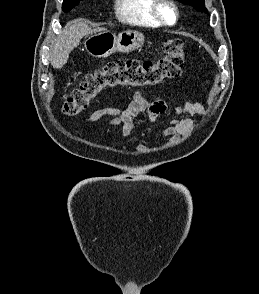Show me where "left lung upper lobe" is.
Returning <instances> with one entry per match:
<instances>
[{"instance_id": "1", "label": "left lung upper lobe", "mask_w": 259, "mask_h": 294, "mask_svg": "<svg viewBox=\"0 0 259 294\" xmlns=\"http://www.w3.org/2000/svg\"><path fill=\"white\" fill-rule=\"evenodd\" d=\"M183 4L190 5L194 9H197L199 11H205L207 12V9L205 8L204 0H178Z\"/></svg>"}]
</instances>
